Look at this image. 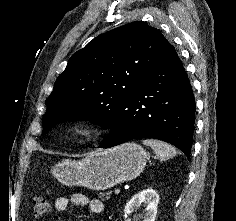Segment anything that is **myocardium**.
<instances>
[{
	"label": "myocardium",
	"mask_w": 236,
	"mask_h": 221,
	"mask_svg": "<svg viewBox=\"0 0 236 221\" xmlns=\"http://www.w3.org/2000/svg\"><path fill=\"white\" fill-rule=\"evenodd\" d=\"M99 127L91 120H80L70 125L67 130L68 137L73 141H82L97 133Z\"/></svg>",
	"instance_id": "obj_1"
}]
</instances>
